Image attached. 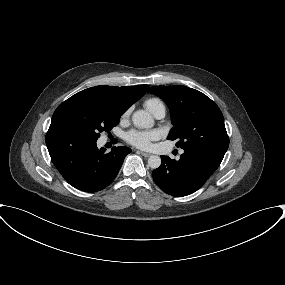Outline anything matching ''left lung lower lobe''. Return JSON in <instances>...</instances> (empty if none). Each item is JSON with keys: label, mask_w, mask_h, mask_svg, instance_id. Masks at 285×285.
Wrapping results in <instances>:
<instances>
[{"label": "left lung lower lobe", "mask_w": 285, "mask_h": 285, "mask_svg": "<svg viewBox=\"0 0 285 285\" xmlns=\"http://www.w3.org/2000/svg\"><path fill=\"white\" fill-rule=\"evenodd\" d=\"M225 153L210 149H185L178 161L161 156V166L152 172L157 186L165 193L181 197L200 189L215 172Z\"/></svg>", "instance_id": "left-lung-lower-lobe-1"}]
</instances>
